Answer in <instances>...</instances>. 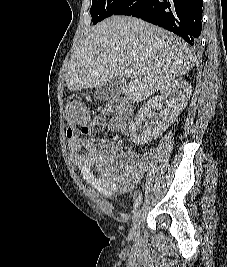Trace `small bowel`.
I'll use <instances>...</instances> for the list:
<instances>
[{
	"label": "small bowel",
	"mask_w": 227,
	"mask_h": 267,
	"mask_svg": "<svg viewBox=\"0 0 227 267\" xmlns=\"http://www.w3.org/2000/svg\"><path fill=\"white\" fill-rule=\"evenodd\" d=\"M95 128L116 129V126H107L103 119L95 117L91 122L81 125L79 130L74 126L68 127L66 136L69 153L73 165L80 171L83 180L99 193L110 195L115 186L124 189L136 183L143 175L146 161L142 157L132 158L111 170L99 147L87 138ZM120 143L117 141L115 146Z\"/></svg>",
	"instance_id": "1"
}]
</instances>
